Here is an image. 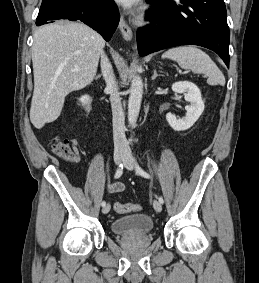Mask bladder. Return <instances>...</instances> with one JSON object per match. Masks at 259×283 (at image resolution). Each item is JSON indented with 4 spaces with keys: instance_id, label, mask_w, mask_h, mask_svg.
Instances as JSON below:
<instances>
[{
    "instance_id": "obj_1",
    "label": "bladder",
    "mask_w": 259,
    "mask_h": 283,
    "mask_svg": "<svg viewBox=\"0 0 259 283\" xmlns=\"http://www.w3.org/2000/svg\"><path fill=\"white\" fill-rule=\"evenodd\" d=\"M153 228L152 219L145 214L129 215L115 220L111 230L116 235H141Z\"/></svg>"
}]
</instances>
